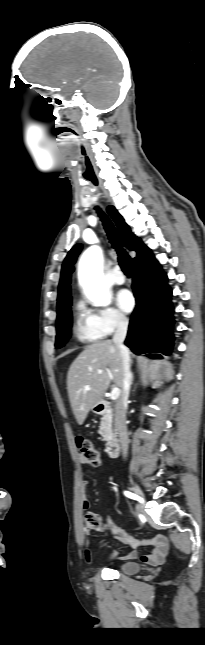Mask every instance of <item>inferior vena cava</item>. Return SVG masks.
<instances>
[{
    "mask_svg": "<svg viewBox=\"0 0 205 645\" xmlns=\"http://www.w3.org/2000/svg\"><path fill=\"white\" fill-rule=\"evenodd\" d=\"M128 328V320L125 317H119L117 321V328L113 336V342L118 347L123 371V385L122 395L116 404L115 422L121 443V450L123 457L128 453V431L126 426V405L129 396L130 385L132 382V373L130 370V352L129 349L123 344Z\"/></svg>",
    "mask_w": 205,
    "mask_h": 645,
    "instance_id": "602c4592",
    "label": "inferior vena cava"
}]
</instances>
